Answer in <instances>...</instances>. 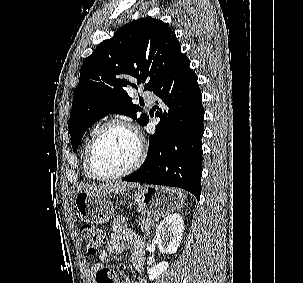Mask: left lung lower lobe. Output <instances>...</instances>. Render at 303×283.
I'll use <instances>...</instances> for the list:
<instances>
[{
	"label": "left lung lower lobe",
	"mask_w": 303,
	"mask_h": 283,
	"mask_svg": "<svg viewBox=\"0 0 303 283\" xmlns=\"http://www.w3.org/2000/svg\"><path fill=\"white\" fill-rule=\"evenodd\" d=\"M152 92L161 100L160 122L143 165L122 180L179 187L200 199L204 110L197 76L183 53Z\"/></svg>",
	"instance_id": "left-lung-lower-lobe-1"
}]
</instances>
